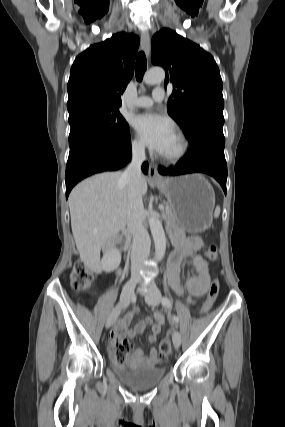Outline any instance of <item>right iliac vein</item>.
<instances>
[{
    "label": "right iliac vein",
    "mask_w": 285,
    "mask_h": 427,
    "mask_svg": "<svg viewBox=\"0 0 285 427\" xmlns=\"http://www.w3.org/2000/svg\"><path fill=\"white\" fill-rule=\"evenodd\" d=\"M137 283H138L137 279H131L126 283V285L124 286V288L121 292L120 304L116 306V308L110 313L109 317L107 318L106 328H109L114 324V322L116 321V319L120 313L121 305L125 304L126 302L129 301V299L131 298V296L134 292V289H135Z\"/></svg>",
    "instance_id": "obj_1"
}]
</instances>
